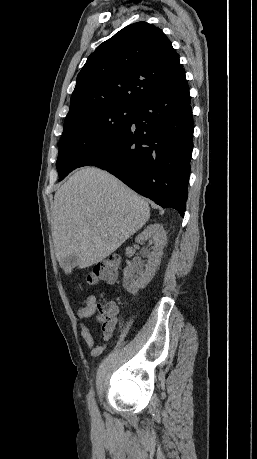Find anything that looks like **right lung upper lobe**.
Listing matches in <instances>:
<instances>
[{"instance_id": "obj_1", "label": "right lung upper lobe", "mask_w": 257, "mask_h": 459, "mask_svg": "<svg viewBox=\"0 0 257 459\" xmlns=\"http://www.w3.org/2000/svg\"><path fill=\"white\" fill-rule=\"evenodd\" d=\"M184 74L161 29L137 22L99 45L77 76L64 126L110 107H136Z\"/></svg>"}]
</instances>
